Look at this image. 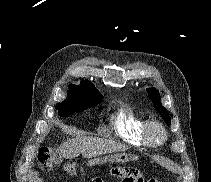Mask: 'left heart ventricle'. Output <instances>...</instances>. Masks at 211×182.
<instances>
[{"mask_svg":"<svg viewBox=\"0 0 211 182\" xmlns=\"http://www.w3.org/2000/svg\"><path fill=\"white\" fill-rule=\"evenodd\" d=\"M152 136H153L154 138H159V137H160V132L157 131V130H155V131H153Z\"/></svg>","mask_w":211,"mask_h":182,"instance_id":"obj_1","label":"left heart ventricle"}]
</instances>
